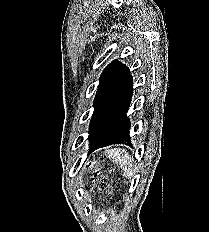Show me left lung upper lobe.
<instances>
[{"instance_id": "5c2ea615", "label": "left lung upper lobe", "mask_w": 209, "mask_h": 232, "mask_svg": "<svg viewBox=\"0 0 209 232\" xmlns=\"http://www.w3.org/2000/svg\"><path fill=\"white\" fill-rule=\"evenodd\" d=\"M129 72V69L124 64L113 60L100 76L94 106L112 96L124 83Z\"/></svg>"}]
</instances>
